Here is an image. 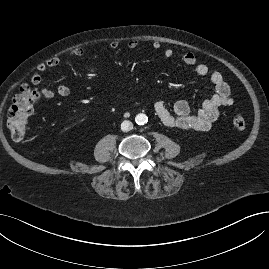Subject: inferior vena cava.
<instances>
[{"instance_id":"1","label":"inferior vena cava","mask_w":269,"mask_h":269,"mask_svg":"<svg viewBox=\"0 0 269 269\" xmlns=\"http://www.w3.org/2000/svg\"><path fill=\"white\" fill-rule=\"evenodd\" d=\"M133 129V124L130 121H123L121 124V130L124 132H128Z\"/></svg>"}]
</instances>
